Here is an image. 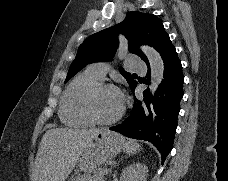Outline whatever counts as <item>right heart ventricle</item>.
I'll use <instances>...</instances> for the list:
<instances>
[{
    "label": "right heart ventricle",
    "mask_w": 228,
    "mask_h": 181,
    "mask_svg": "<svg viewBox=\"0 0 228 181\" xmlns=\"http://www.w3.org/2000/svg\"><path fill=\"white\" fill-rule=\"evenodd\" d=\"M102 79L86 73L78 74L68 86L63 100L61 119L72 125H91L93 121L86 111V102L91 89Z\"/></svg>",
    "instance_id": "1"
}]
</instances>
